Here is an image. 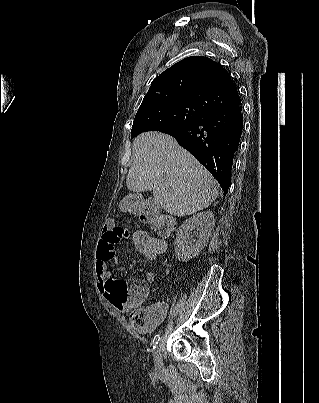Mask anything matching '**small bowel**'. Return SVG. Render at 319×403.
<instances>
[{
	"label": "small bowel",
	"mask_w": 319,
	"mask_h": 403,
	"mask_svg": "<svg viewBox=\"0 0 319 403\" xmlns=\"http://www.w3.org/2000/svg\"><path fill=\"white\" fill-rule=\"evenodd\" d=\"M131 235V230L124 224H106L99 229L95 258L97 285L101 289V298L108 299L111 309H118V315H123L124 324L132 329V335H151L167 314L169 303L145 304L149 299L150 285H145L143 279L111 277L108 266L114 255L120 253V238H130ZM154 281L155 274L148 273L146 282L152 284Z\"/></svg>",
	"instance_id": "1"
}]
</instances>
